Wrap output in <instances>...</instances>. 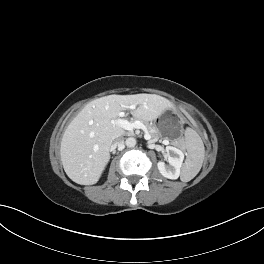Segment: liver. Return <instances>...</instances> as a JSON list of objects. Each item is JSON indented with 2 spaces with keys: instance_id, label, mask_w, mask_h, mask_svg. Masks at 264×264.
Here are the masks:
<instances>
[{
  "instance_id": "obj_1",
  "label": "liver",
  "mask_w": 264,
  "mask_h": 264,
  "mask_svg": "<svg viewBox=\"0 0 264 264\" xmlns=\"http://www.w3.org/2000/svg\"><path fill=\"white\" fill-rule=\"evenodd\" d=\"M137 107L133 116L145 121L158 118L172 107L155 94L109 95L87 104L65 130L60 147L67 176L80 185H93L110 160V146L125 131L116 124L121 111Z\"/></svg>"
}]
</instances>
